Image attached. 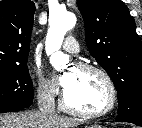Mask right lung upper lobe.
Segmentation results:
<instances>
[{
	"label": "right lung upper lobe",
	"mask_w": 142,
	"mask_h": 128,
	"mask_svg": "<svg viewBox=\"0 0 142 128\" xmlns=\"http://www.w3.org/2000/svg\"><path fill=\"white\" fill-rule=\"evenodd\" d=\"M34 12L31 0L0 2V67L27 64Z\"/></svg>",
	"instance_id": "1"
}]
</instances>
